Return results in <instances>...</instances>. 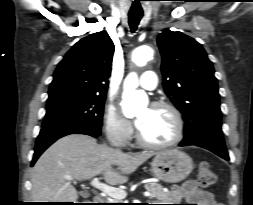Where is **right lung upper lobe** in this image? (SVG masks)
Segmentation results:
<instances>
[{"mask_svg":"<svg viewBox=\"0 0 253 205\" xmlns=\"http://www.w3.org/2000/svg\"><path fill=\"white\" fill-rule=\"evenodd\" d=\"M114 44L106 32L78 41L58 64L48 100L66 96H106Z\"/></svg>","mask_w":253,"mask_h":205,"instance_id":"1","label":"right lung upper lobe"}]
</instances>
